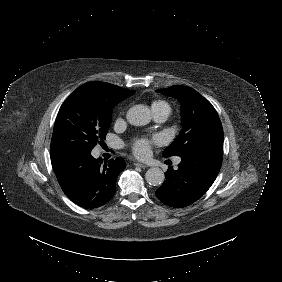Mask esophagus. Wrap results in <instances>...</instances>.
Masks as SVG:
<instances>
[{
    "mask_svg": "<svg viewBox=\"0 0 282 282\" xmlns=\"http://www.w3.org/2000/svg\"><path fill=\"white\" fill-rule=\"evenodd\" d=\"M134 165L136 167L146 168V166L144 164H141V163H138V162H134Z\"/></svg>",
    "mask_w": 282,
    "mask_h": 282,
    "instance_id": "esophagus-1",
    "label": "esophagus"
}]
</instances>
